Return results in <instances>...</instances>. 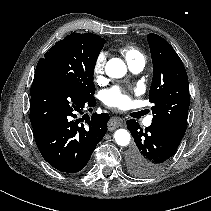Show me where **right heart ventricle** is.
Here are the masks:
<instances>
[{"mask_svg": "<svg viewBox=\"0 0 211 211\" xmlns=\"http://www.w3.org/2000/svg\"><path fill=\"white\" fill-rule=\"evenodd\" d=\"M120 52L124 56L128 64L139 59H144L142 53L133 46H124L120 49Z\"/></svg>", "mask_w": 211, "mask_h": 211, "instance_id": "right-heart-ventricle-1", "label": "right heart ventricle"}]
</instances>
